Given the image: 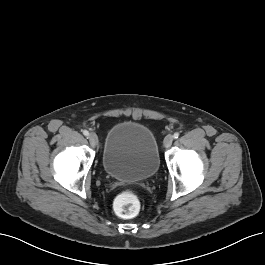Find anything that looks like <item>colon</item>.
I'll list each match as a JSON object with an SVG mask.
<instances>
[{"label":"colon","mask_w":265,"mask_h":265,"mask_svg":"<svg viewBox=\"0 0 265 265\" xmlns=\"http://www.w3.org/2000/svg\"><path fill=\"white\" fill-rule=\"evenodd\" d=\"M114 206L117 214L122 218H132L136 216L140 209L137 195L128 190L117 196Z\"/></svg>","instance_id":"obj_1"}]
</instances>
